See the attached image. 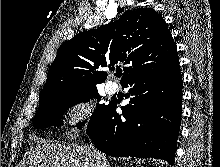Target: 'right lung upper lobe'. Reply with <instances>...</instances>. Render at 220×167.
Wrapping results in <instances>:
<instances>
[{
    "instance_id": "obj_1",
    "label": "right lung upper lobe",
    "mask_w": 220,
    "mask_h": 167,
    "mask_svg": "<svg viewBox=\"0 0 220 167\" xmlns=\"http://www.w3.org/2000/svg\"><path fill=\"white\" fill-rule=\"evenodd\" d=\"M124 67L121 84L145 72L169 68L179 62L165 20L151 8H137L98 29L83 31L64 42L48 71L40 101L54 94L102 83L103 67Z\"/></svg>"
}]
</instances>
